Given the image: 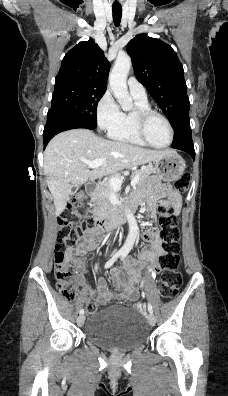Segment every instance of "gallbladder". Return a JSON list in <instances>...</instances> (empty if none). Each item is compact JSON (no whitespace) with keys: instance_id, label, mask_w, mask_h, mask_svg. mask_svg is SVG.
<instances>
[{"instance_id":"gallbladder-1","label":"gallbladder","mask_w":228,"mask_h":396,"mask_svg":"<svg viewBox=\"0 0 228 396\" xmlns=\"http://www.w3.org/2000/svg\"><path fill=\"white\" fill-rule=\"evenodd\" d=\"M79 187H80L79 185H73V186H72V188H73L74 191L78 190Z\"/></svg>"}]
</instances>
